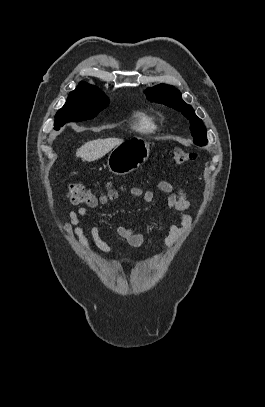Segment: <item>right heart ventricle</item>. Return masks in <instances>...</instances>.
<instances>
[{"label": "right heart ventricle", "instance_id": "obj_1", "mask_svg": "<svg viewBox=\"0 0 265 407\" xmlns=\"http://www.w3.org/2000/svg\"><path fill=\"white\" fill-rule=\"evenodd\" d=\"M133 128L139 133L148 134L156 131L157 124L149 113L139 111L135 114Z\"/></svg>", "mask_w": 265, "mask_h": 407}]
</instances>
